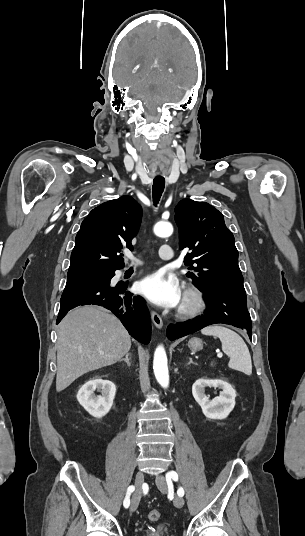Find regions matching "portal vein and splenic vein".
<instances>
[{"instance_id": "1", "label": "portal vein and splenic vein", "mask_w": 305, "mask_h": 536, "mask_svg": "<svg viewBox=\"0 0 305 536\" xmlns=\"http://www.w3.org/2000/svg\"><path fill=\"white\" fill-rule=\"evenodd\" d=\"M217 356L218 358H222L223 354H221V352H217Z\"/></svg>"}]
</instances>
